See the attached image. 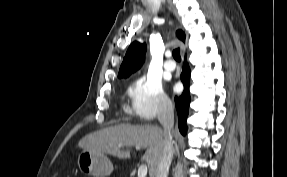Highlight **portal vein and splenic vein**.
I'll list each match as a JSON object with an SVG mask.
<instances>
[{
  "instance_id": "18ae733b",
  "label": "portal vein and splenic vein",
  "mask_w": 287,
  "mask_h": 177,
  "mask_svg": "<svg viewBox=\"0 0 287 177\" xmlns=\"http://www.w3.org/2000/svg\"><path fill=\"white\" fill-rule=\"evenodd\" d=\"M136 150H140L141 147L140 146H135ZM147 171H148V168L146 165H141L139 168H138V177H146L147 175Z\"/></svg>"
}]
</instances>
